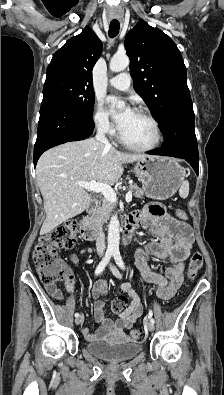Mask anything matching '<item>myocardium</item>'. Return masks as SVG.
Here are the masks:
<instances>
[{
    "label": "myocardium",
    "instance_id": "1",
    "mask_svg": "<svg viewBox=\"0 0 224 395\" xmlns=\"http://www.w3.org/2000/svg\"><path fill=\"white\" fill-rule=\"evenodd\" d=\"M136 113L144 116L146 119H148L151 124L154 127V131H155V139L154 141L150 144V145H146V146H139V145H134L129 143L128 141H126L124 139V137L122 136L120 130L118 131V141L125 146L126 148L133 150V151H138V152H148V151H152L154 149H156L162 140V131H161V127L160 124L158 122V120L146 109L143 108H137L135 110Z\"/></svg>",
    "mask_w": 224,
    "mask_h": 395
}]
</instances>
